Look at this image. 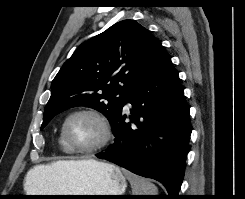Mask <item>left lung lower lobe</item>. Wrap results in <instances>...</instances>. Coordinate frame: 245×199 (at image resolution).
Segmentation results:
<instances>
[{"label": "left lung lower lobe", "mask_w": 245, "mask_h": 199, "mask_svg": "<svg viewBox=\"0 0 245 199\" xmlns=\"http://www.w3.org/2000/svg\"><path fill=\"white\" fill-rule=\"evenodd\" d=\"M127 101L132 105L128 123L122 113ZM123 106L111 122L114 144L96 156L161 182L169 199H176L192 129L178 71L165 50Z\"/></svg>", "instance_id": "left-lung-lower-lobe-1"}]
</instances>
